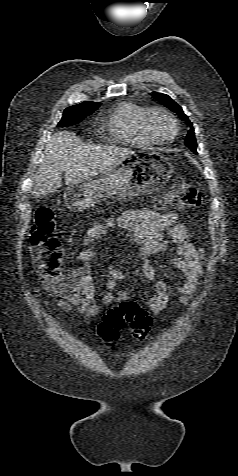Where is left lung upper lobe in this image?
Returning a JSON list of instances; mask_svg holds the SVG:
<instances>
[{
  "label": "left lung upper lobe",
  "mask_w": 238,
  "mask_h": 476,
  "mask_svg": "<svg viewBox=\"0 0 238 476\" xmlns=\"http://www.w3.org/2000/svg\"><path fill=\"white\" fill-rule=\"evenodd\" d=\"M153 97L163 103L166 107H168L170 110L175 112L176 114L179 115L181 119H183L187 124L192 126V123L188 119V117L184 114L182 108L174 101L172 100L168 95L162 94V93H157L153 92ZM185 145L190 148L194 153L197 152V142L195 140V133L193 128L188 132L186 139H185Z\"/></svg>",
  "instance_id": "5c2ea615"
}]
</instances>
